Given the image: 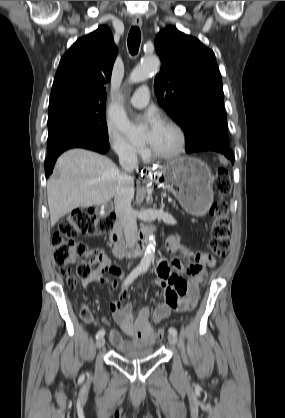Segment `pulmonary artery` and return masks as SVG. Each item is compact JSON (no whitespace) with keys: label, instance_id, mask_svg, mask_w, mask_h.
Listing matches in <instances>:
<instances>
[{"label":"pulmonary artery","instance_id":"e3ab8cb5","mask_svg":"<svg viewBox=\"0 0 285 418\" xmlns=\"http://www.w3.org/2000/svg\"><path fill=\"white\" fill-rule=\"evenodd\" d=\"M149 100V90L146 87L138 89L131 97L130 103L134 107H144Z\"/></svg>","mask_w":285,"mask_h":418}]
</instances>
